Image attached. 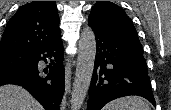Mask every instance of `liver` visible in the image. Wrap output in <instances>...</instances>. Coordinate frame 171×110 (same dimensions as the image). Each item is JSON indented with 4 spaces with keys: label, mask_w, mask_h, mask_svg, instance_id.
<instances>
[{
    "label": "liver",
    "mask_w": 171,
    "mask_h": 110,
    "mask_svg": "<svg viewBox=\"0 0 171 110\" xmlns=\"http://www.w3.org/2000/svg\"><path fill=\"white\" fill-rule=\"evenodd\" d=\"M0 110H43L29 92L16 85L0 87Z\"/></svg>",
    "instance_id": "obj_1"
}]
</instances>
